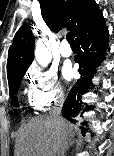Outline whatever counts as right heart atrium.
Masks as SVG:
<instances>
[{
  "instance_id": "obj_1",
  "label": "right heart atrium",
  "mask_w": 114,
  "mask_h": 156,
  "mask_svg": "<svg viewBox=\"0 0 114 156\" xmlns=\"http://www.w3.org/2000/svg\"><path fill=\"white\" fill-rule=\"evenodd\" d=\"M28 99L37 110H47L63 102L65 93L58 75L53 69L32 67L27 74Z\"/></svg>"
}]
</instances>
